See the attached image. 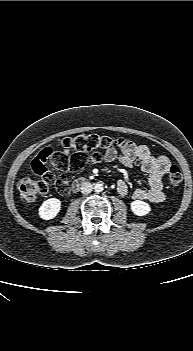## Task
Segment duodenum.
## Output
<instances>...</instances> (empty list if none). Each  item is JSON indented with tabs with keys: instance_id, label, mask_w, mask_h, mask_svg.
<instances>
[{
	"instance_id": "410a0bca",
	"label": "duodenum",
	"mask_w": 193,
	"mask_h": 351,
	"mask_svg": "<svg viewBox=\"0 0 193 351\" xmlns=\"http://www.w3.org/2000/svg\"><path fill=\"white\" fill-rule=\"evenodd\" d=\"M85 183V180L83 178H77L73 181L72 183V190L76 191L79 189L83 184Z\"/></svg>"
}]
</instances>
